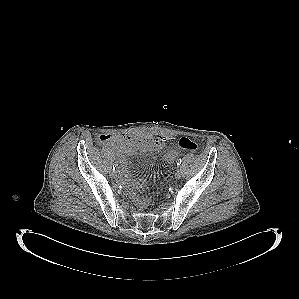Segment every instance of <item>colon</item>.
Listing matches in <instances>:
<instances>
[{
	"label": "colon",
	"instance_id": "5ec220e1",
	"mask_svg": "<svg viewBox=\"0 0 299 299\" xmlns=\"http://www.w3.org/2000/svg\"><path fill=\"white\" fill-rule=\"evenodd\" d=\"M178 145H179L180 148H182L184 150L191 151V152H195L198 149L197 143L189 137L180 138V140L178 142ZM142 203L144 205H147L149 203V200L148 199H143Z\"/></svg>",
	"mask_w": 299,
	"mask_h": 299
}]
</instances>
